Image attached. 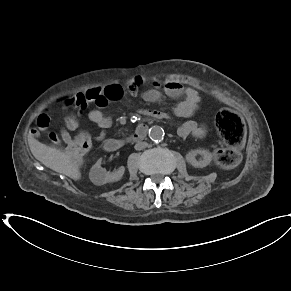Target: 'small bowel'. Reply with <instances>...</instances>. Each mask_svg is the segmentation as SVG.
<instances>
[{"label":"small bowel","instance_id":"small-bowel-1","mask_svg":"<svg viewBox=\"0 0 291 291\" xmlns=\"http://www.w3.org/2000/svg\"><path fill=\"white\" fill-rule=\"evenodd\" d=\"M146 83V78L136 73L127 81L123 86L120 83H108L103 86H92L75 95L77 113L81 114L88 104L96 105V109L89 112L88 118L91 122L96 124L100 131L94 137L95 140H102L105 138L106 129H108L112 121L109 117L105 116L101 110L109 102L120 100L125 91L131 95H137L141 87ZM153 87L145 90L142 93L144 101L155 103L162 99L163 93L172 97L178 98L183 96L184 99L177 103L174 108V113L180 118L187 119L178 129V134L181 137L192 135L194 137H202L205 135L206 129L203 125L198 124L196 121L189 119L196 111L200 98L196 90L184 87L177 81H168L164 83L153 82ZM139 115L148 120H163L168 121L170 114L164 111H151L147 108H141ZM76 120L73 117L67 119V128L73 130L76 128ZM50 126V117L47 113L39 115L36 121V127L32 131V136L37 137L41 132L46 131ZM61 139L65 143H69L72 139L68 130L61 131ZM58 142V138L52 140Z\"/></svg>","mask_w":291,"mask_h":291}]
</instances>
